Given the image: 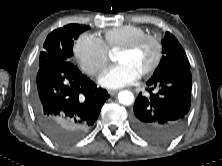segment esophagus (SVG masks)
Returning a JSON list of instances; mask_svg holds the SVG:
<instances>
[{"label":"esophagus","instance_id":"esophagus-1","mask_svg":"<svg viewBox=\"0 0 222 166\" xmlns=\"http://www.w3.org/2000/svg\"><path fill=\"white\" fill-rule=\"evenodd\" d=\"M108 93L109 95L113 96L118 93V90H109Z\"/></svg>","mask_w":222,"mask_h":166}]
</instances>
